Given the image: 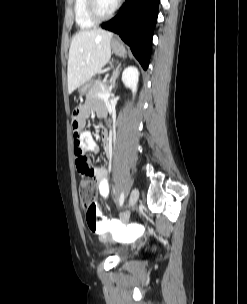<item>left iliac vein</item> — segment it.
Wrapping results in <instances>:
<instances>
[{
	"instance_id": "left-iliac-vein-1",
	"label": "left iliac vein",
	"mask_w": 247,
	"mask_h": 304,
	"mask_svg": "<svg viewBox=\"0 0 247 304\" xmlns=\"http://www.w3.org/2000/svg\"><path fill=\"white\" fill-rule=\"evenodd\" d=\"M138 198H139V191L137 188H134L132 191H131V194H130V198H129V207L132 208L135 206L136 202L138 201ZM128 216L129 214L127 213L124 217L125 220L128 219Z\"/></svg>"
}]
</instances>
